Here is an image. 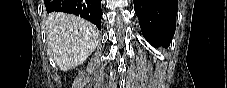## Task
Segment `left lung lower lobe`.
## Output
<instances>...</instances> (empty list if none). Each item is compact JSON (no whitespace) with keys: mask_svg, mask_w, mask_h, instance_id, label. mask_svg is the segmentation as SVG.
<instances>
[{"mask_svg":"<svg viewBox=\"0 0 227 88\" xmlns=\"http://www.w3.org/2000/svg\"><path fill=\"white\" fill-rule=\"evenodd\" d=\"M141 31L153 46H168L176 28L177 0H133Z\"/></svg>","mask_w":227,"mask_h":88,"instance_id":"0a47b994","label":"left lung lower lobe"}]
</instances>
